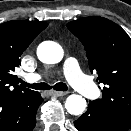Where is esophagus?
Listing matches in <instances>:
<instances>
[{"mask_svg": "<svg viewBox=\"0 0 131 131\" xmlns=\"http://www.w3.org/2000/svg\"><path fill=\"white\" fill-rule=\"evenodd\" d=\"M51 94L55 97H61V96H64L66 94H68V92H64V91H53L51 92Z\"/></svg>", "mask_w": 131, "mask_h": 131, "instance_id": "1", "label": "esophagus"}]
</instances>
